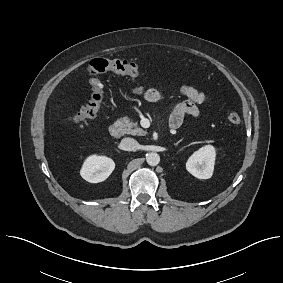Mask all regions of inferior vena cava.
<instances>
[{"mask_svg": "<svg viewBox=\"0 0 283 283\" xmlns=\"http://www.w3.org/2000/svg\"><path fill=\"white\" fill-rule=\"evenodd\" d=\"M120 145L121 148L126 151H134L138 149L139 146L138 142L135 139L129 137L123 138Z\"/></svg>", "mask_w": 283, "mask_h": 283, "instance_id": "602c4592", "label": "inferior vena cava"}]
</instances>
